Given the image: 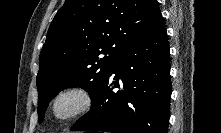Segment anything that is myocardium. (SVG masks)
I'll return each mask as SVG.
<instances>
[{"instance_id": "myocardium-1", "label": "myocardium", "mask_w": 221, "mask_h": 133, "mask_svg": "<svg viewBox=\"0 0 221 133\" xmlns=\"http://www.w3.org/2000/svg\"><path fill=\"white\" fill-rule=\"evenodd\" d=\"M93 95L83 85H69L58 90L50 100L48 112L58 122L71 121L90 111Z\"/></svg>"}]
</instances>
